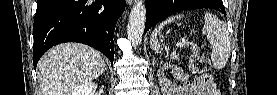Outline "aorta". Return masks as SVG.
<instances>
[{
    "instance_id": "1",
    "label": "aorta",
    "mask_w": 277,
    "mask_h": 95,
    "mask_svg": "<svg viewBox=\"0 0 277 95\" xmlns=\"http://www.w3.org/2000/svg\"><path fill=\"white\" fill-rule=\"evenodd\" d=\"M146 9L143 0H135L130 12L127 37L133 46L140 44L145 28Z\"/></svg>"
}]
</instances>
